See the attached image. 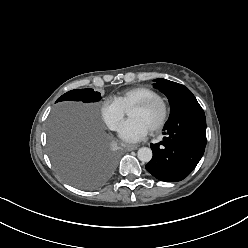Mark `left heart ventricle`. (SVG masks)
<instances>
[{"label": "left heart ventricle", "mask_w": 248, "mask_h": 248, "mask_svg": "<svg viewBox=\"0 0 248 248\" xmlns=\"http://www.w3.org/2000/svg\"><path fill=\"white\" fill-rule=\"evenodd\" d=\"M159 116L160 107L158 105H154L146 110L130 109L128 111V117L130 119L140 120L148 129L158 120Z\"/></svg>", "instance_id": "1"}]
</instances>
